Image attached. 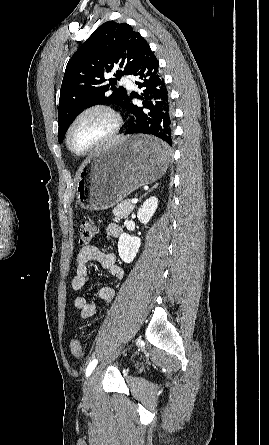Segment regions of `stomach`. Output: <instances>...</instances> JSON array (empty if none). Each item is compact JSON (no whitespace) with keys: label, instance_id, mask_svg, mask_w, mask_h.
<instances>
[{"label":"stomach","instance_id":"stomach-1","mask_svg":"<svg viewBox=\"0 0 269 445\" xmlns=\"http://www.w3.org/2000/svg\"><path fill=\"white\" fill-rule=\"evenodd\" d=\"M154 142L149 136H126L94 153L77 177L79 205L90 211L105 210L159 179L167 170L169 154H147L144 146Z\"/></svg>","mask_w":269,"mask_h":445}]
</instances>
